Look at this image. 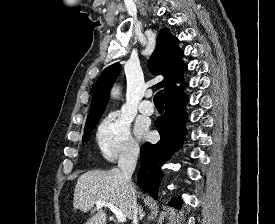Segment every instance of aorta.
I'll return each instance as SVG.
<instances>
[{"label":"aorta","mask_w":275,"mask_h":224,"mask_svg":"<svg viewBox=\"0 0 275 224\" xmlns=\"http://www.w3.org/2000/svg\"><path fill=\"white\" fill-rule=\"evenodd\" d=\"M119 94V88H113L112 96L116 97Z\"/></svg>","instance_id":"1"}]
</instances>
